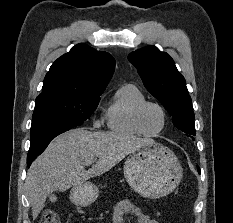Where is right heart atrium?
<instances>
[{
	"label": "right heart atrium",
	"instance_id": "d8ad5b80",
	"mask_svg": "<svg viewBox=\"0 0 233 223\" xmlns=\"http://www.w3.org/2000/svg\"><path fill=\"white\" fill-rule=\"evenodd\" d=\"M93 124H94V127L99 128L101 125V122L98 118H94Z\"/></svg>",
	"mask_w": 233,
	"mask_h": 223
}]
</instances>
